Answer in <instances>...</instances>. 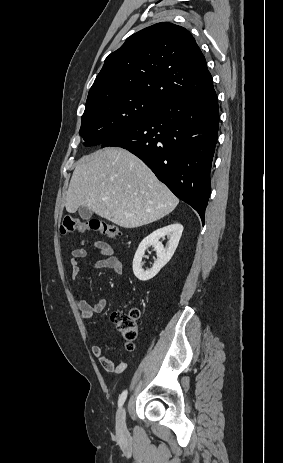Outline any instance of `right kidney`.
I'll return each instance as SVG.
<instances>
[{"mask_svg":"<svg viewBox=\"0 0 283 463\" xmlns=\"http://www.w3.org/2000/svg\"><path fill=\"white\" fill-rule=\"evenodd\" d=\"M182 232L183 226L179 223H174L160 228L144 238L140 243L133 259L134 275L141 281H148L152 279L173 256L178 246ZM165 236L169 238L166 248H164L163 244L159 241L160 238ZM149 246H154L157 253V260L154 262L151 269L145 271L142 268L141 262L145 251Z\"/></svg>","mask_w":283,"mask_h":463,"instance_id":"1","label":"right kidney"}]
</instances>
